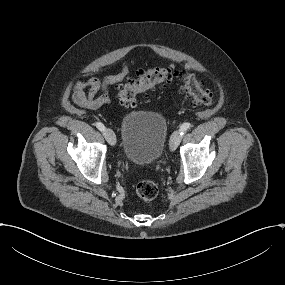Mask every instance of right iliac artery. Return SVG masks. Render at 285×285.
<instances>
[{"label": "right iliac artery", "mask_w": 285, "mask_h": 285, "mask_svg": "<svg viewBox=\"0 0 285 285\" xmlns=\"http://www.w3.org/2000/svg\"><path fill=\"white\" fill-rule=\"evenodd\" d=\"M95 126L101 131L104 132L105 126L101 122L95 123Z\"/></svg>", "instance_id": "82829eb1"}]
</instances>
